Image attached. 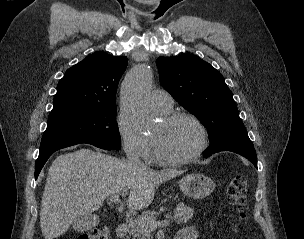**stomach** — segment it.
<instances>
[{"label": "stomach", "mask_w": 304, "mask_h": 239, "mask_svg": "<svg viewBox=\"0 0 304 239\" xmlns=\"http://www.w3.org/2000/svg\"><path fill=\"white\" fill-rule=\"evenodd\" d=\"M214 181L203 174L191 173L184 176L179 181L181 191L194 199H201L213 192L215 189Z\"/></svg>", "instance_id": "stomach-1"}]
</instances>
